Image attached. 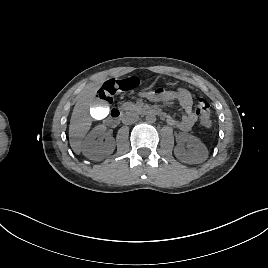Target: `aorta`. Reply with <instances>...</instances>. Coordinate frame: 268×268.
Listing matches in <instances>:
<instances>
[{
    "label": "aorta",
    "mask_w": 268,
    "mask_h": 268,
    "mask_svg": "<svg viewBox=\"0 0 268 268\" xmlns=\"http://www.w3.org/2000/svg\"><path fill=\"white\" fill-rule=\"evenodd\" d=\"M145 119L148 123H154L156 121V115L154 113L149 112L147 113Z\"/></svg>",
    "instance_id": "aorta-1"
}]
</instances>
